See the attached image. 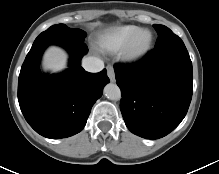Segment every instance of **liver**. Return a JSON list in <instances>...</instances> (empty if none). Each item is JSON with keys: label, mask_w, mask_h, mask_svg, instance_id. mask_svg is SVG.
<instances>
[{"label": "liver", "mask_w": 219, "mask_h": 174, "mask_svg": "<svg viewBox=\"0 0 219 174\" xmlns=\"http://www.w3.org/2000/svg\"><path fill=\"white\" fill-rule=\"evenodd\" d=\"M67 56L57 47H51L45 53L44 67L53 72L61 71L66 67Z\"/></svg>", "instance_id": "obj_1"}]
</instances>
